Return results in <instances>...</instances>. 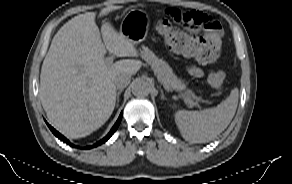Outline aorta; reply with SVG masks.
<instances>
[{
    "label": "aorta",
    "mask_w": 292,
    "mask_h": 184,
    "mask_svg": "<svg viewBox=\"0 0 292 184\" xmlns=\"http://www.w3.org/2000/svg\"><path fill=\"white\" fill-rule=\"evenodd\" d=\"M151 92V86L144 79H136L132 84V93L138 97H146Z\"/></svg>",
    "instance_id": "aorta-1"
}]
</instances>
